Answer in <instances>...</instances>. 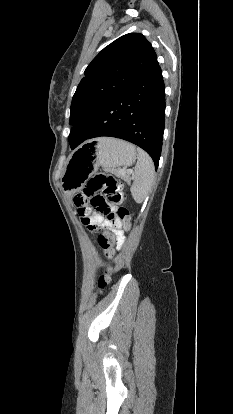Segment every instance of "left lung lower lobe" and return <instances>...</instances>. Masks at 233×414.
Instances as JSON below:
<instances>
[{
    "instance_id": "obj_1",
    "label": "left lung lower lobe",
    "mask_w": 233,
    "mask_h": 414,
    "mask_svg": "<svg viewBox=\"0 0 233 414\" xmlns=\"http://www.w3.org/2000/svg\"><path fill=\"white\" fill-rule=\"evenodd\" d=\"M165 118V85L161 68L154 65L128 88L105 101L70 135L72 149L101 136L124 139L144 149L158 167Z\"/></svg>"
}]
</instances>
